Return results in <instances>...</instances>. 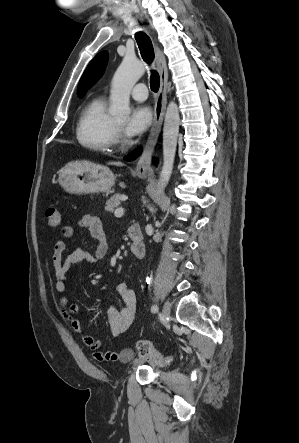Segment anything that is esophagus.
Segmentation results:
<instances>
[{
  "label": "esophagus",
  "instance_id": "obj_1",
  "mask_svg": "<svg viewBox=\"0 0 299 443\" xmlns=\"http://www.w3.org/2000/svg\"><path fill=\"white\" fill-rule=\"evenodd\" d=\"M155 54H156V63L160 74V89L155 103L153 125L148 140L145 144L144 150L135 167V170L138 173H147L151 168L152 154L161 131L165 109H166L167 83H168L166 60L163 53L161 52L160 48L157 45H155Z\"/></svg>",
  "mask_w": 299,
  "mask_h": 443
}]
</instances>
